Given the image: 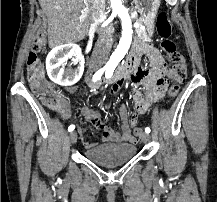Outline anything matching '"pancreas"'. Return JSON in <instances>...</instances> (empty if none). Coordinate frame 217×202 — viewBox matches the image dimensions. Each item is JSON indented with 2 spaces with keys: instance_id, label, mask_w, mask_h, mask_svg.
<instances>
[{
  "instance_id": "pancreas-1",
  "label": "pancreas",
  "mask_w": 217,
  "mask_h": 202,
  "mask_svg": "<svg viewBox=\"0 0 217 202\" xmlns=\"http://www.w3.org/2000/svg\"><path fill=\"white\" fill-rule=\"evenodd\" d=\"M138 34L140 35L142 41H151L153 38L146 33V30H138Z\"/></svg>"
}]
</instances>
